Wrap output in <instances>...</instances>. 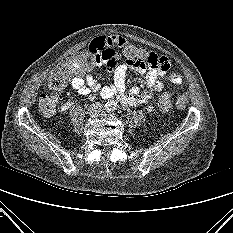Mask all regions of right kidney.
<instances>
[{
  "label": "right kidney",
  "mask_w": 233,
  "mask_h": 233,
  "mask_svg": "<svg viewBox=\"0 0 233 233\" xmlns=\"http://www.w3.org/2000/svg\"><path fill=\"white\" fill-rule=\"evenodd\" d=\"M70 107H71V102L68 101L63 106H61L60 109H61L62 112H66Z\"/></svg>",
  "instance_id": "1"
}]
</instances>
